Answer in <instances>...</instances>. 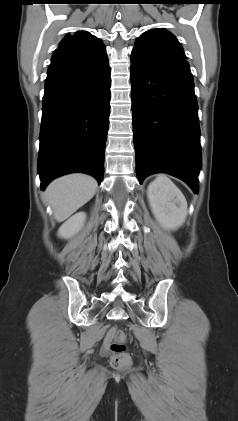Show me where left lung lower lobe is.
<instances>
[{
    "label": "left lung lower lobe",
    "mask_w": 238,
    "mask_h": 421,
    "mask_svg": "<svg viewBox=\"0 0 238 421\" xmlns=\"http://www.w3.org/2000/svg\"><path fill=\"white\" fill-rule=\"evenodd\" d=\"M131 100L138 180L167 173L198 192V105L186 57L131 54Z\"/></svg>",
    "instance_id": "obj_1"
}]
</instances>
